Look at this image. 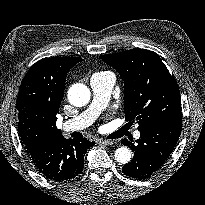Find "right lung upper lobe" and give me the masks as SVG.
I'll use <instances>...</instances> for the list:
<instances>
[{"label":"right lung upper lobe","mask_w":205,"mask_h":205,"mask_svg":"<svg viewBox=\"0 0 205 205\" xmlns=\"http://www.w3.org/2000/svg\"><path fill=\"white\" fill-rule=\"evenodd\" d=\"M80 61L79 57L42 59L23 78L16 108L19 135L26 149L63 138L56 127V115L64 95L67 73Z\"/></svg>","instance_id":"right-lung-upper-lobe-1"}]
</instances>
